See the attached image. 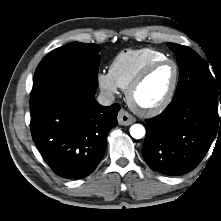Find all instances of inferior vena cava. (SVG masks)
<instances>
[{"mask_svg":"<svg viewBox=\"0 0 221 221\" xmlns=\"http://www.w3.org/2000/svg\"><path fill=\"white\" fill-rule=\"evenodd\" d=\"M114 100L115 97L109 91H102L97 98L98 103L103 106L111 105L114 102Z\"/></svg>","mask_w":221,"mask_h":221,"instance_id":"inferior-vena-cava-1","label":"inferior vena cava"}]
</instances>
